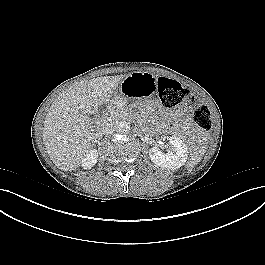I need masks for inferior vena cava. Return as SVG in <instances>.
I'll list each match as a JSON object with an SVG mask.
<instances>
[{
  "label": "inferior vena cava",
  "instance_id": "602c4592",
  "mask_svg": "<svg viewBox=\"0 0 265 265\" xmlns=\"http://www.w3.org/2000/svg\"><path fill=\"white\" fill-rule=\"evenodd\" d=\"M116 129V125L114 122L112 121H108V120H105L102 124H101V127H100V133L101 134H105V135H108V134H111L115 131Z\"/></svg>",
  "mask_w": 265,
  "mask_h": 265
}]
</instances>
